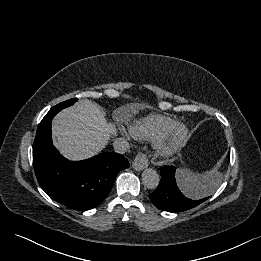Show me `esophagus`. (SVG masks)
<instances>
[{
  "mask_svg": "<svg viewBox=\"0 0 261 261\" xmlns=\"http://www.w3.org/2000/svg\"><path fill=\"white\" fill-rule=\"evenodd\" d=\"M148 166V157L145 154H138L135 157V160L132 164V167L137 170L141 171Z\"/></svg>",
  "mask_w": 261,
  "mask_h": 261,
  "instance_id": "esophagus-1",
  "label": "esophagus"
}]
</instances>
